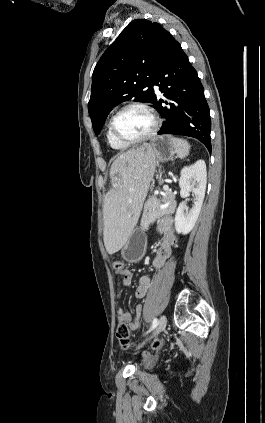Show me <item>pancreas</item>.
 Returning <instances> with one entry per match:
<instances>
[{
	"label": "pancreas",
	"mask_w": 265,
	"mask_h": 423,
	"mask_svg": "<svg viewBox=\"0 0 265 423\" xmlns=\"http://www.w3.org/2000/svg\"><path fill=\"white\" fill-rule=\"evenodd\" d=\"M167 204V205H166ZM166 205L164 208L161 206ZM175 195L170 191H165L161 198L150 195L144 205V212L141 219V228L147 230L157 219L175 212Z\"/></svg>",
	"instance_id": "obj_1"
}]
</instances>
